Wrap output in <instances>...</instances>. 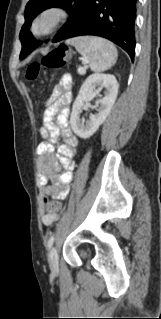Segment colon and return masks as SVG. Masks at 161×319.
I'll return each mask as SVG.
<instances>
[{
    "label": "colon",
    "mask_w": 161,
    "mask_h": 319,
    "mask_svg": "<svg viewBox=\"0 0 161 319\" xmlns=\"http://www.w3.org/2000/svg\"><path fill=\"white\" fill-rule=\"evenodd\" d=\"M70 51L67 46H59L58 48L51 50L46 54L41 62H32L29 64L26 72V78L28 80H34L39 77L41 71V65L53 70L62 68L68 61ZM46 203V201H45ZM49 211L52 213H59L61 205L58 202L47 203Z\"/></svg>",
    "instance_id": "colon-1"
}]
</instances>
